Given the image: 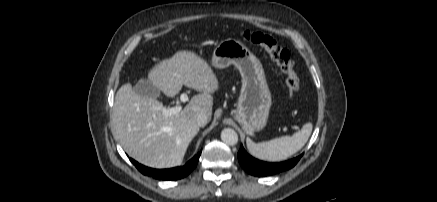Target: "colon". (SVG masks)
<instances>
[{
  "instance_id": "5ec220e1",
  "label": "colon",
  "mask_w": 437,
  "mask_h": 202,
  "mask_svg": "<svg viewBox=\"0 0 437 202\" xmlns=\"http://www.w3.org/2000/svg\"><path fill=\"white\" fill-rule=\"evenodd\" d=\"M241 36L245 41L260 46L278 65L285 75V84L289 96L291 98L296 97L300 90V81L290 52L279 45L272 36L260 31H245Z\"/></svg>"
}]
</instances>
